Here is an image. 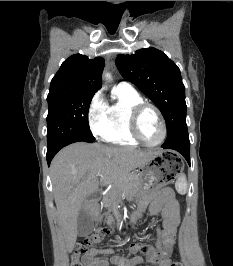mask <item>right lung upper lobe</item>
Wrapping results in <instances>:
<instances>
[{"label":"right lung upper lobe","instance_id":"obj_1","mask_svg":"<svg viewBox=\"0 0 233 266\" xmlns=\"http://www.w3.org/2000/svg\"><path fill=\"white\" fill-rule=\"evenodd\" d=\"M104 64L102 57L91 60L81 54L70 56L53 77L47 99L78 93L94 94L101 88Z\"/></svg>","mask_w":233,"mask_h":266}]
</instances>
